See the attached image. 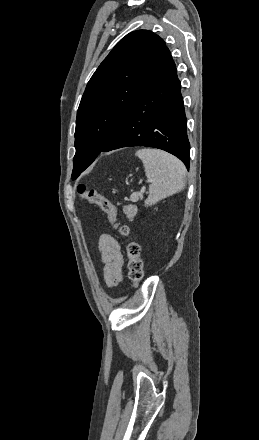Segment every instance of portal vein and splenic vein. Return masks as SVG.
Masks as SVG:
<instances>
[{"mask_svg": "<svg viewBox=\"0 0 259 440\" xmlns=\"http://www.w3.org/2000/svg\"><path fill=\"white\" fill-rule=\"evenodd\" d=\"M145 192V188H142L140 192H135L131 195V201L136 202L138 200V197L143 195Z\"/></svg>", "mask_w": 259, "mask_h": 440, "instance_id": "1", "label": "portal vein and splenic vein"}]
</instances>
